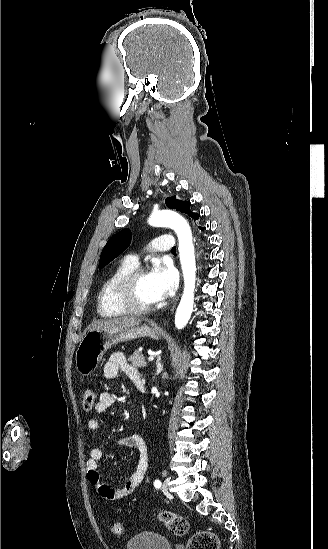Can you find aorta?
I'll list each match as a JSON object with an SVG mask.
<instances>
[{"instance_id":"762f6f07","label":"aorta","mask_w":328,"mask_h":549,"mask_svg":"<svg viewBox=\"0 0 328 549\" xmlns=\"http://www.w3.org/2000/svg\"><path fill=\"white\" fill-rule=\"evenodd\" d=\"M149 224L156 227H170L179 240V255L184 277V291L176 310L175 326L182 329L188 323L194 304V289L196 280V263L192 232L187 221L171 210H160L152 213Z\"/></svg>"}]
</instances>
